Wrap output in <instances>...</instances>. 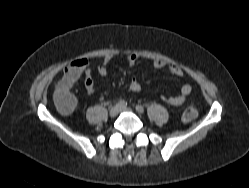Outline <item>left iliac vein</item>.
<instances>
[{"mask_svg":"<svg viewBox=\"0 0 249 188\" xmlns=\"http://www.w3.org/2000/svg\"><path fill=\"white\" fill-rule=\"evenodd\" d=\"M120 112H133V110L129 107H120Z\"/></svg>","mask_w":249,"mask_h":188,"instance_id":"1","label":"left iliac vein"}]
</instances>
